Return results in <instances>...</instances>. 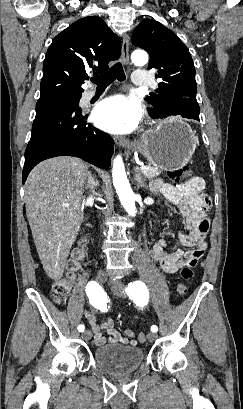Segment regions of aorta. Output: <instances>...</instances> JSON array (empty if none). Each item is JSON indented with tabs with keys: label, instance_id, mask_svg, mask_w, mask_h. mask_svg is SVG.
I'll list each match as a JSON object with an SVG mask.
<instances>
[{
	"label": "aorta",
	"instance_id": "1",
	"mask_svg": "<svg viewBox=\"0 0 243 409\" xmlns=\"http://www.w3.org/2000/svg\"><path fill=\"white\" fill-rule=\"evenodd\" d=\"M132 61L138 66L145 65L148 61V55L143 51H135L132 54ZM112 177L116 193L122 206L129 215L135 216L137 213L135 196L127 179L123 160L120 155L113 161Z\"/></svg>",
	"mask_w": 243,
	"mask_h": 409
}]
</instances>
